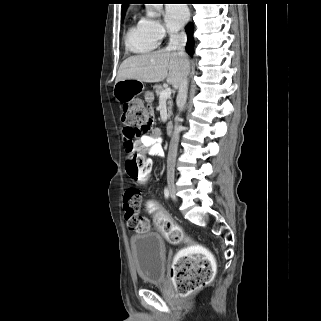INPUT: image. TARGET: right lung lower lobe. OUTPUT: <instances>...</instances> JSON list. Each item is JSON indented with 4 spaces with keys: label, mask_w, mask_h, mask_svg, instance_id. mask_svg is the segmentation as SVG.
Returning <instances> with one entry per match:
<instances>
[{
    "label": "right lung lower lobe",
    "mask_w": 321,
    "mask_h": 321,
    "mask_svg": "<svg viewBox=\"0 0 321 321\" xmlns=\"http://www.w3.org/2000/svg\"><path fill=\"white\" fill-rule=\"evenodd\" d=\"M185 31L187 33L186 51L188 54L193 55V50H194L193 23L187 24V26L185 27Z\"/></svg>",
    "instance_id": "right-lung-lower-lobe-1"
}]
</instances>
